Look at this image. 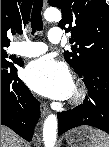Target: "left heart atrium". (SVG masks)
I'll list each match as a JSON object with an SVG mask.
<instances>
[{"label":"left heart atrium","instance_id":"39dd6f15","mask_svg":"<svg viewBox=\"0 0 109 147\" xmlns=\"http://www.w3.org/2000/svg\"><path fill=\"white\" fill-rule=\"evenodd\" d=\"M24 80L35 92L51 99L64 100L73 92L70 70L51 56L32 61L24 70Z\"/></svg>","mask_w":109,"mask_h":147}]
</instances>
